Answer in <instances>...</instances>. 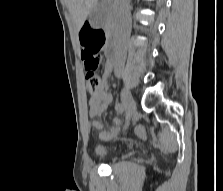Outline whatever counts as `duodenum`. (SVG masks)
Returning a JSON list of instances; mask_svg holds the SVG:
<instances>
[{
	"instance_id": "410a0bca",
	"label": "duodenum",
	"mask_w": 223,
	"mask_h": 191,
	"mask_svg": "<svg viewBox=\"0 0 223 191\" xmlns=\"http://www.w3.org/2000/svg\"><path fill=\"white\" fill-rule=\"evenodd\" d=\"M113 36L115 38H117V33L114 31L113 32ZM107 52H108V55H109V61L111 63H114V58L116 56V52H117V49H116V46L113 44V42L110 41L109 43V46H108V49H107Z\"/></svg>"
}]
</instances>
